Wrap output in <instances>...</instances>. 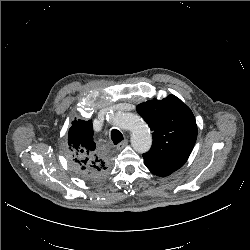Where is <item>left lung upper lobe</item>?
Returning <instances> with one entry per match:
<instances>
[{"mask_svg": "<svg viewBox=\"0 0 250 250\" xmlns=\"http://www.w3.org/2000/svg\"><path fill=\"white\" fill-rule=\"evenodd\" d=\"M137 112L153 131L151 149L143 154L145 165L167 173L181 168L197 138V125L190 108L169 95L139 104Z\"/></svg>", "mask_w": 250, "mask_h": 250, "instance_id": "obj_1", "label": "left lung upper lobe"}]
</instances>
